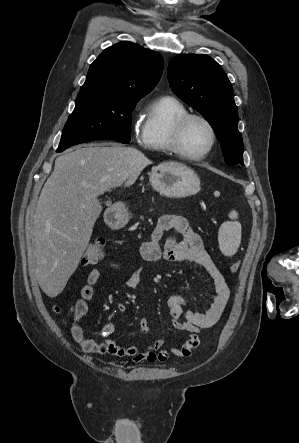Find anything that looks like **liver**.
<instances>
[{"label":"liver","instance_id":"1","mask_svg":"<svg viewBox=\"0 0 299 443\" xmlns=\"http://www.w3.org/2000/svg\"><path fill=\"white\" fill-rule=\"evenodd\" d=\"M151 163L141 151L121 145H89L56 159L33 222L35 274L47 296L59 295L77 269L102 211L98 196L134 182Z\"/></svg>","mask_w":299,"mask_h":443}]
</instances>
